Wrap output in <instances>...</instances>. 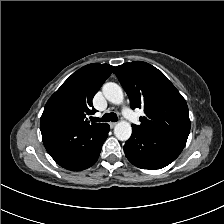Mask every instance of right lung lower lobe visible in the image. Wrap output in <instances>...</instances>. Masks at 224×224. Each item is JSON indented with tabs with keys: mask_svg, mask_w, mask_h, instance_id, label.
<instances>
[{
	"mask_svg": "<svg viewBox=\"0 0 224 224\" xmlns=\"http://www.w3.org/2000/svg\"><path fill=\"white\" fill-rule=\"evenodd\" d=\"M44 146L61 167L78 171L92 166L98 159L110 127L101 124L83 128L47 119L40 123Z\"/></svg>",
	"mask_w": 224,
	"mask_h": 224,
	"instance_id": "98d812e1",
	"label": "right lung lower lobe"
}]
</instances>
